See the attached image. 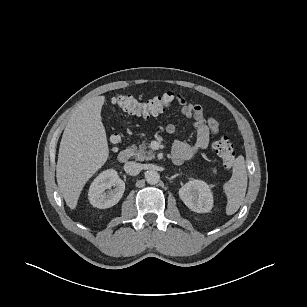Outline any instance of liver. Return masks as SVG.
Instances as JSON below:
<instances>
[{
  "label": "liver",
  "instance_id": "6515ba94",
  "mask_svg": "<svg viewBox=\"0 0 307 307\" xmlns=\"http://www.w3.org/2000/svg\"><path fill=\"white\" fill-rule=\"evenodd\" d=\"M105 96L86 100L71 115L63 132L56 178L67 206L75 209L86 182L105 164L109 148L101 109Z\"/></svg>",
  "mask_w": 307,
  "mask_h": 307
}]
</instances>
